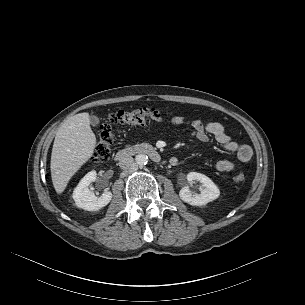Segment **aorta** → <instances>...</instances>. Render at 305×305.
Instances as JSON below:
<instances>
[{
	"mask_svg": "<svg viewBox=\"0 0 305 305\" xmlns=\"http://www.w3.org/2000/svg\"><path fill=\"white\" fill-rule=\"evenodd\" d=\"M135 161L139 166L146 165L148 163V156L144 153L137 154Z\"/></svg>",
	"mask_w": 305,
	"mask_h": 305,
	"instance_id": "aorta-1",
	"label": "aorta"
}]
</instances>
